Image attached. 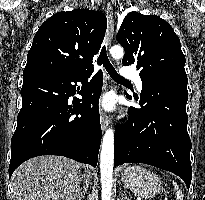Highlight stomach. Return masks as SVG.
I'll use <instances>...</instances> for the list:
<instances>
[{"label": "stomach", "instance_id": "stomach-1", "mask_svg": "<svg viewBox=\"0 0 205 200\" xmlns=\"http://www.w3.org/2000/svg\"><path fill=\"white\" fill-rule=\"evenodd\" d=\"M121 181L135 195L145 199L154 197L162 190L159 176L140 165L126 167L121 173Z\"/></svg>", "mask_w": 205, "mask_h": 200}]
</instances>
